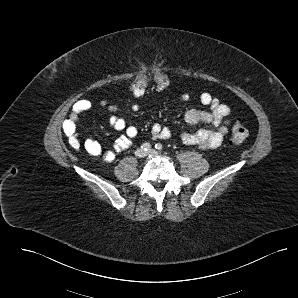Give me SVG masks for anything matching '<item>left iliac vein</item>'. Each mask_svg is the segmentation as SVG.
Here are the masks:
<instances>
[{
    "instance_id": "obj_1",
    "label": "left iliac vein",
    "mask_w": 298,
    "mask_h": 298,
    "mask_svg": "<svg viewBox=\"0 0 298 298\" xmlns=\"http://www.w3.org/2000/svg\"><path fill=\"white\" fill-rule=\"evenodd\" d=\"M147 155L149 156H158V152L156 150H150L147 152Z\"/></svg>"
}]
</instances>
